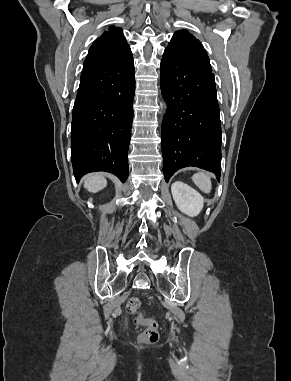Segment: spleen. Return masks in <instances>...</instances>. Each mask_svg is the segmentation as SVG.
Wrapping results in <instances>:
<instances>
[{
  "label": "spleen",
  "instance_id": "3e777b00",
  "mask_svg": "<svg viewBox=\"0 0 291 381\" xmlns=\"http://www.w3.org/2000/svg\"><path fill=\"white\" fill-rule=\"evenodd\" d=\"M193 182L204 193H210L212 188L211 178L205 172H198L192 176Z\"/></svg>",
  "mask_w": 291,
  "mask_h": 381
}]
</instances>
